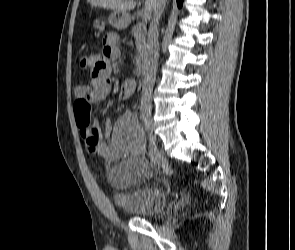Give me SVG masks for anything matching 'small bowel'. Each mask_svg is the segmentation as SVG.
I'll return each instance as SVG.
<instances>
[{
    "instance_id": "1",
    "label": "small bowel",
    "mask_w": 295,
    "mask_h": 250,
    "mask_svg": "<svg viewBox=\"0 0 295 250\" xmlns=\"http://www.w3.org/2000/svg\"><path fill=\"white\" fill-rule=\"evenodd\" d=\"M103 47L92 54L93 66L90 80L75 90L76 100L86 99L97 103L109 96L112 90L111 65L119 60L118 36L110 33L103 38ZM135 90V82L126 80L122 85L120 98H129ZM86 149L98 155H111L116 159L108 171L112 185L118 189L132 186L148 169V161L142 158L144 152L143 134L133 112L122 114L114 125L105 120L103 134L97 118L86 127H79ZM104 137L111 138L109 146Z\"/></svg>"
}]
</instances>
